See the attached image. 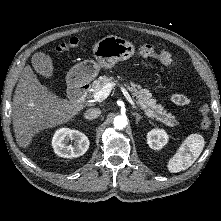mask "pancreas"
<instances>
[{
	"instance_id": "pancreas-1",
	"label": "pancreas",
	"mask_w": 221,
	"mask_h": 221,
	"mask_svg": "<svg viewBox=\"0 0 221 221\" xmlns=\"http://www.w3.org/2000/svg\"><path fill=\"white\" fill-rule=\"evenodd\" d=\"M112 79V77L100 76L98 80L92 83V94L94 95V93L98 92L106 83L111 82ZM127 89L131 92L132 96L136 98L137 104L140 105L141 109H143L149 117L155 118L170 127L178 125L176 117L164 110L162 105H158L156 100L151 98L152 95L147 89H141V86L134 82H131V85H128Z\"/></svg>"
}]
</instances>
